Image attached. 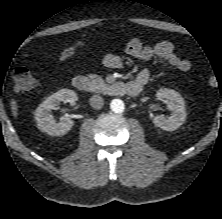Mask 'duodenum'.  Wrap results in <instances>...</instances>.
I'll return each mask as SVG.
<instances>
[{"label":"duodenum","mask_w":222,"mask_h":219,"mask_svg":"<svg viewBox=\"0 0 222 219\" xmlns=\"http://www.w3.org/2000/svg\"><path fill=\"white\" fill-rule=\"evenodd\" d=\"M72 84L75 89L81 92H86L90 88V80L86 75H77L73 78ZM143 85L138 82H122L116 81L108 86V91L115 95H130L137 96Z\"/></svg>","instance_id":"duodenum-1"}]
</instances>
